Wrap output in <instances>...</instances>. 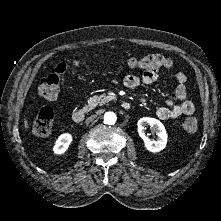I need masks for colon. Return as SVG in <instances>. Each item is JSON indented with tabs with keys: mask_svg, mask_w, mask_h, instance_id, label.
<instances>
[{
	"mask_svg": "<svg viewBox=\"0 0 221 221\" xmlns=\"http://www.w3.org/2000/svg\"><path fill=\"white\" fill-rule=\"evenodd\" d=\"M77 65V63H75ZM125 65L134 70H143L153 73L166 70L171 66V61L168 57L161 54H150L143 58H129ZM67 71L66 64L56 66L53 73L42 78L38 91L39 94L49 100H54L58 97L60 91V77ZM54 114L50 108H43L37 115L33 123V131L37 136L47 137L52 133V123ZM182 130L189 135H192L198 130V121L195 117L188 116L182 121Z\"/></svg>",
	"mask_w": 221,
	"mask_h": 221,
	"instance_id": "1",
	"label": "colon"
}]
</instances>
